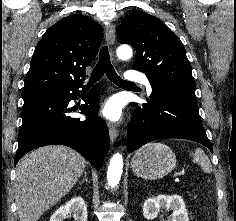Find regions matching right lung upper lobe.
Masks as SVG:
<instances>
[{
  "mask_svg": "<svg viewBox=\"0 0 236 221\" xmlns=\"http://www.w3.org/2000/svg\"><path fill=\"white\" fill-rule=\"evenodd\" d=\"M103 39L101 27L81 14L51 26L37 44L22 95L81 84Z\"/></svg>",
  "mask_w": 236,
  "mask_h": 221,
  "instance_id": "cb5924a9",
  "label": "right lung upper lobe"
}]
</instances>
